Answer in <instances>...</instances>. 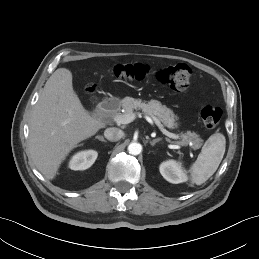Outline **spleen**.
Returning a JSON list of instances; mask_svg holds the SVG:
<instances>
[{
    "instance_id": "spleen-1",
    "label": "spleen",
    "mask_w": 259,
    "mask_h": 259,
    "mask_svg": "<svg viewBox=\"0 0 259 259\" xmlns=\"http://www.w3.org/2000/svg\"><path fill=\"white\" fill-rule=\"evenodd\" d=\"M225 147L226 139L221 133H214L207 139L189 170L191 185H202L216 172L223 159Z\"/></svg>"
}]
</instances>
